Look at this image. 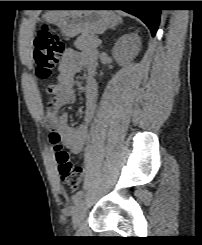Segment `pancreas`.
Returning a JSON list of instances; mask_svg holds the SVG:
<instances>
[{"label":"pancreas","mask_w":202,"mask_h":245,"mask_svg":"<svg viewBox=\"0 0 202 245\" xmlns=\"http://www.w3.org/2000/svg\"><path fill=\"white\" fill-rule=\"evenodd\" d=\"M98 38L94 34L84 33L74 42V46L82 51L95 49L99 46Z\"/></svg>","instance_id":"obj_1"}]
</instances>
